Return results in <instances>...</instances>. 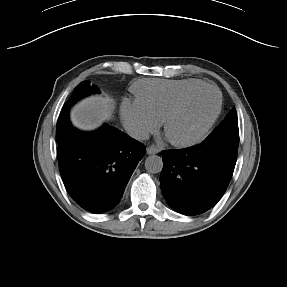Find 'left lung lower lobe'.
<instances>
[{
  "label": "left lung lower lobe",
  "instance_id": "0a47b994",
  "mask_svg": "<svg viewBox=\"0 0 287 287\" xmlns=\"http://www.w3.org/2000/svg\"><path fill=\"white\" fill-rule=\"evenodd\" d=\"M162 155L161 191L170 207L188 216L209 210L221 199L237 159L236 152L206 139Z\"/></svg>",
  "mask_w": 287,
  "mask_h": 287
}]
</instances>
